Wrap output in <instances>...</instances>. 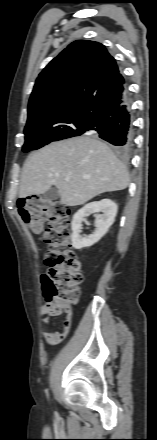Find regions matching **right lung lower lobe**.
I'll list each match as a JSON object with an SVG mask.
<instances>
[{"mask_svg":"<svg viewBox=\"0 0 157 440\" xmlns=\"http://www.w3.org/2000/svg\"><path fill=\"white\" fill-rule=\"evenodd\" d=\"M84 132L96 131L100 138L128 151L133 141L131 108L128 95L118 105L105 111L84 124Z\"/></svg>","mask_w":157,"mask_h":440,"instance_id":"98d812e1","label":"right lung lower lobe"}]
</instances>
